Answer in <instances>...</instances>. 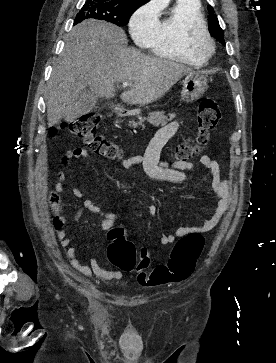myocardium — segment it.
Segmentation results:
<instances>
[{"label":"myocardium","mask_w":276,"mask_h":363,"mask_svg":"<svg viewBox=\"0 0 276 363\" xmlns=\"http://www.w3.org/2000/svg\"><path fill=\"white\" fill-rule=\"evenodd\" d=\"M200 34L203 35L205 40L207 41V49H205V50L200 49L195 44V39ZM185 45H186L187 51L191 55H193L194 57H196L204 62L207 61L213 55L214 49H215L214 40H213L211 34L209 33L208 29L206 27L200 26V25H192L188 28V30L186 32V37H185Z\"/></svg>","instance_id":"myocardium-1"}]
</instances>
